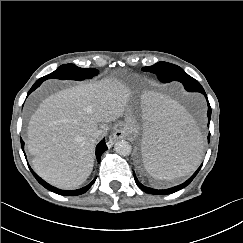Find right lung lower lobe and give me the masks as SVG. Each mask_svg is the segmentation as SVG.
Wrapping results in <instances>:
<instances>
[{
	"label": "right lung lower lobe",
	"instance_id": "obj_1",
	"mask_svg": "<svg viewBox=\"0 0 243 243\" xmlns=\"http://www.w3.org/2000/svg\"><path fill=\"white\" fill-rule=\"evenodd\" d=\"M42 82L41 81H36V83L32 86V88L30 89L29 93L30 94L32 91H34L37 87L40 86ZM21 145H22V149L24 148V142L21 139ZM107 150V146L105 144V139H103L96 147V158L97 161L100 162L101 159V155L102 153ZM30 168V167H29ZM31 172L33 173L34 177L36 178V180L46 189L55 192L57 194L60 195H65V196H76V195H80L85 193L90 187L91 185L95 182L96 178L87 186L81 188V189H77V190H72V191H66V190H60L58 188H55L51 185H49L48 183H46L43 179H41L31 168H30Z\"/></svg>",
	"mask_w": 243,
	"mask_h": 243
}]
</instances>
